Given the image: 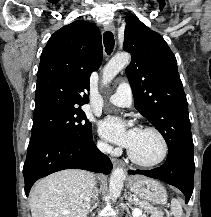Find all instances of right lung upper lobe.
<instances>
[{"label": "right lung upper lobe", "instance_id": "right-lung-upper-lobe-1", "mask_svg": "<svg viewBox=\"0 0 211 217\" xmlns=\"http://www.w3.org/2000/svg\"><path fill=\"white\" fill-rule=\"evenodd\" d=\"M102 62L97 26L77 20L56 31L42 51L37 73L34 118L50 112L82 110L90 75Z\"/></svg>", "mask_w": 211, "mask_h": 217}]
</instances>
